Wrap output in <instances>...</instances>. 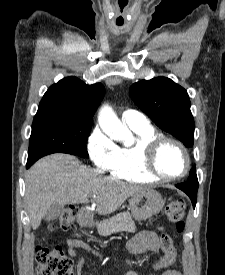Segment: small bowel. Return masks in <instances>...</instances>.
<instances>
[{"mask_svg":"<svg viewBox=\"0 0 225 275\" xmlns=\"http://www.w3.org/2000/svg\"><path fill=\"white\" fill-rule=\"evenodd\" d=\"M128 249L132 254L139 255L148 251H160L162 249L159 236L152 231H143L137 234L128 244ZM84 250L86 252H91L99 257L103 256L94 251L85 241L77 238H71L67 240V253L72 258L78 257V251ZM84 268V260L81 259L78 263V275ZM126 275H139L137 272H128ZM153 275V274H151ZM161 275H182L174 266L165 270Z\"/></svg>","mask_w":225,"mask_h":275,"instance_id":"small-bowel-1","label":"small bowel"}]
</instances>
